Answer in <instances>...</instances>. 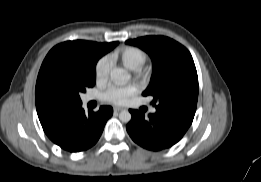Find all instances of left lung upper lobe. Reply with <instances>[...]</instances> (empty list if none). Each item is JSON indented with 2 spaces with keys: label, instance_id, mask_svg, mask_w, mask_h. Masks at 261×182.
<instances>
[{
  "label": "left lung upper lobe",
  "instance_id": "obj_1",
  "mask_svg": "<svg viewBox=\"0 0 261 182\" xmlns=\"http://www.w3.org/2000/svg\"><path fill=\"white\" fill-rule=\"evenodd\" d=\"M149 54L153 73L144 96H153L158 111H184L195 114L198 76L190 52L164 36H145L126 41Z\"/></svg>",
  "mask_w": 261,
  "mask_h": 182
}]
</instances>
